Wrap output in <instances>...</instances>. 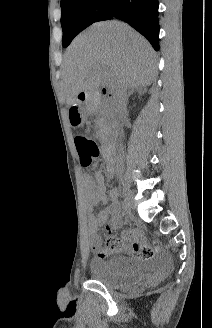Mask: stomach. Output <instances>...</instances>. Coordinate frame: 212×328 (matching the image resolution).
Masks as SVG:
<instances>
[{"mask_svg":"<svg viewBox=\"0 0 212 328\" xmlns=\"http://www.w3.org/2000/svg\"><path fill=\"white\" fill-rule=\"evenodd\" d=\"M81 106L77 105V103H72V105L68 106L67 109V119L70 120L71 128H78L79 124L85 123V118L82 117L81 114Z\"/></svg>","mask_w":212,"mask_h":328,"instance_id":"obj_1","label":"stomach"}]
</instances>
